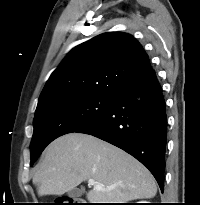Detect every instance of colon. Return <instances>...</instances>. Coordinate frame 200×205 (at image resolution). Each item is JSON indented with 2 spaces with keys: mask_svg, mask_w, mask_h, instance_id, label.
I'll list each match as a JSON object with an SVG mask.
<instances>
[{
  "mask_svg": "<svg viewBox=\"0 0 200 205\" xmlns=\"http://www.w3.org/2000/svg\"><path fill=\"white\" fill-rule=\"evenodd\" d=\"M52 205H83L79 198L63 197Z\"/></svg>",
  "mask_w": 200,
  "mask_h": 205,
  "instance_id": "1",
  "label": "colon"
}]
</instances>
